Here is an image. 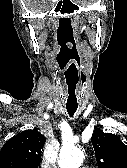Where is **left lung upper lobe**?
I'll return each instance as SVG.
<instances>
[{"label":"left lung upper lobe","instance_id":"1","mask_svg":"<svg viewBox=\"0 0 127 168\" xmlns=\"http://www.w3.org/2000/svg\"><path fill=\"white\" fill-rule=\"evenodd\" d=\"M92 144L99 168H127V146L117 135L96 130Z\"/></svg>","mask_w":127,"mask_h":168}]
</instances>
